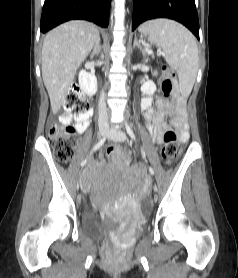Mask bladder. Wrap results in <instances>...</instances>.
I'll use <instances>...</instances> for the list:
<instances>
[{"mask_svg": "<svg viewBox=\"0 0 238 278\" xmlns=\"http://www.w3.org/2000/svg\"><path fill=\"white\" fill-rule=\"evenodd\" d=\"M82 229L91 237L108 240L116 231V223L102 218L95 210L88 209L82 218Z\"/></svg>", "mask_w": 238, "mask_h": 278, "instance_id": "1", "label": "bladder"}]
</instances>
